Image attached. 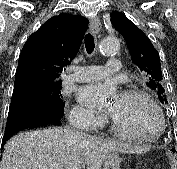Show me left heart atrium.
<instances>
[{"instance_id": "39dd6f15", "label": "left heart atrium", "mask_w": 177, "mask_h": 169, "mask_svg": "<svg viewBox=\"0 0 177 169\" xmlns=\"http://www.w3.org/2000/svg\"><path fill=\"white\" fill-rule=\"evenodd\" d=\"M116 85L111 82H97L78 90V100L88 108L99 112H110L119 99Z\"/></svg>"}]
</instances>
